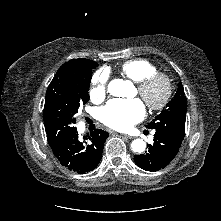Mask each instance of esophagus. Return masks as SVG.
<instances>
[{
  "instance_id": "34e87169",
  "label": "esophagus",
  "mask_w": 221,
  "mask_h": 221,
  "mask_svg": "<svg viewBox=\"0 0 221 221\" xmlns=\"http://www.w3.org/2000/svg\"><path fill=\"white\" fill-rule=\"evenodd\" d=\"M122 136H123L124 138H127V139H133V137H132V136L127 135V134H123Z\"/></svg>"
}]
</instances>
